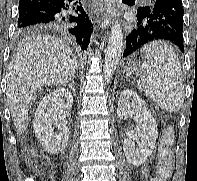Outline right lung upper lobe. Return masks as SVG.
I'll use <instances>...</instances> for the list:
<instances>
[{
	"instance_id": "1",
	"label": "right lung upper lobe",
	"mask_w": 197,
	"mask_h": 181,
	"mask_svg": "<svg viewBox=\"0 0 197 181\" xmlns=\"http://www.w3.org/2000/svg\"><path fill=\"white\" fill-rule=\"evenodd\" d=\"M32 28H24V29H21V31H27V30H30Z\"/></svg>"
}]
</instances>
